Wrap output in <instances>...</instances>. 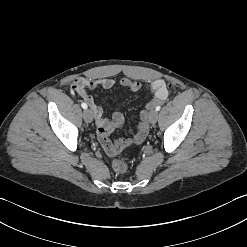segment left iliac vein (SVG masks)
I'll return each mask as SVG.
<instances>
[{
  "mask_svg": "<svg viewBox=\"0 0 247 247\" xmlns=\"http://www.w3.org/2000/svg\"><path fill=\"white\" fill-rule=\"evenodd\" d=\"M158 119V112L156 110H152L150 113H149V121L151 124H154L156 123Z\"/></svg>",
  "mask_w": 247,
  "mask_h": 247,
  "instance_id": "4c4485c4",
  "label": "left iliac vein"
}]
</instances>
